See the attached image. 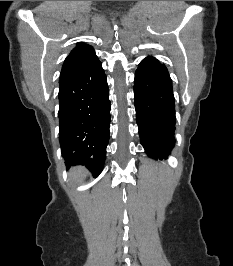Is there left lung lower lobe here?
Returning <instances> with one entry per match:
<instances>
[{"label":"left lung lower lobe","mask_w":233,"mask_h":266,"mask_svg":"<svg viewBox=\"0 0 233 266\" xmlns=\"http://www.w3.org/2000/svg\"><path fill=\"white\" fill-rule=\"evenodd\" d=\"M134 95L141 144L149 156L166 159L174 147L176 117L165 65L154 57L143 59L135 73Z\"/></svg>","instance_id":"left-lung-lower-lobe-1"}]
</instances>
